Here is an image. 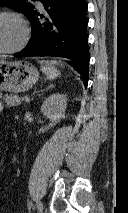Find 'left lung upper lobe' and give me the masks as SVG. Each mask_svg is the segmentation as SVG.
Wrapping results in <instances>:
<instances>
[{
    "instance_id": "1",
    "label": "left lung upper lobe",
    "mask_w": 128,
    "mask_h": 213,
    "mask_svg": "<svg viewBox=\"0 0 128 213\" xmlns=\"http://www.w3.org/2000/svg\"><path fill=\"white\" fill-rule=\"evenodd\" d=\"M2 5L15 8L25 14L28 19L31 17L32 12L35 9V6L29 0H0V6Z\"/></svg>"
}]
</instances>
